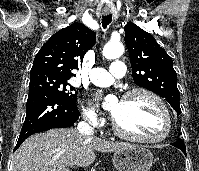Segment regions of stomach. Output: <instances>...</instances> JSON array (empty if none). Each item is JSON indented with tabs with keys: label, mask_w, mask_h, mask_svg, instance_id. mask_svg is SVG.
<instances>
[{
	"label": "stomach",
	"mask_w": 199,
	"mask_h": 171,
	"mask_svg": "<svg viewBox=\"0 0 199 171\" xmlns=\"http://www.w3.org/2000/svg\"><path fill=\"white\" fill-rule=\"evenodd\" d=\"M112 161L117 171H149L153 155L144 146L129 144L115 151Z\"/></svg>",
	"instance_id": "stomach-1"
}]
</instances>
